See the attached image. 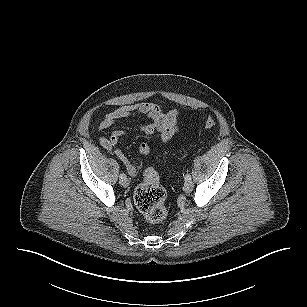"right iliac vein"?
Wrapping results in <instances>:
<instances>
[{"label": "right iliac vein", "instance_id": "63e3f726", "mask_svg": "<svg viewBox=\"0 0 307 307\" xmlns=\"http://www.w3.org/2000/svg\"><path fill=\"white\" fill-rule=\"evenodd\" d=\"M120 184L123 187H128L129 186V180L126 177H124L123 179H120Z\"/></svg>", "mask_w": 307, "mask_h": 307}]
</instances>
